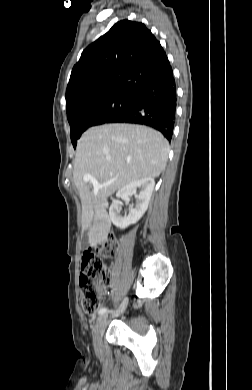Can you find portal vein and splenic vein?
<instances>
[{"label":"portal vein and splenic vein","instance_id":"obj_1","mask_svg":"<svg viewBox=\"0 0 252 390\" xmlns=\"http://www.w3.org/2000/svg\"><path fill=\"white\" fill-rule=\"evenodd\" d=\"M83 180L85 182H90L95 190H98V189L113 182V181H110L108 183L101 184L95 178H93L91 175H84Z\"/></svg>","mask_w":252,"mask_h":390}]
</instances>
